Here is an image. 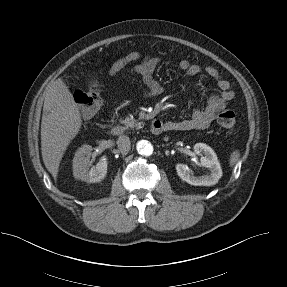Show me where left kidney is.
Here are the masks:
<instances>
[{
    "label": "left kidney",
    "mask_w": 287,
    "mask_h": 287,
    "mask_svg": "<svg viewBox=\"0 0 287 287\" xmlns=\"http://www.w3.org/2000/svg\"><path fill=\"white\" fill-rule=\"evenodd\" d=\"M194 152L197 155H201V165L208 168L210 174L196 177L189 172L187 165L179 163L176 165L178 176L183 181L194 186H213L218 183L222 177V169L214 150L204 143H196L194 145Z\"/></svg>",
    "instance_id": "5707ae66"
}]
</instances>
